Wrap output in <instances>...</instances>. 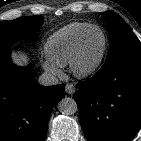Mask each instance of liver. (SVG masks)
Instances as JSON below:
<instances>
[{"label": "liver", "mask_w": 141, "mask_h": 141, "mask_svg": "<svg viewBox=\"0 0 141 141\" xmlns=\"http://www.w3.org/2000/svg\"><path fill=\"white\" fill-rule=\"evenodd\" d=\"M17 61L20 63L21 62V59L19 58V59H17Z\"/></svg>", "instance_id": "obj_1"}]
</instances>
